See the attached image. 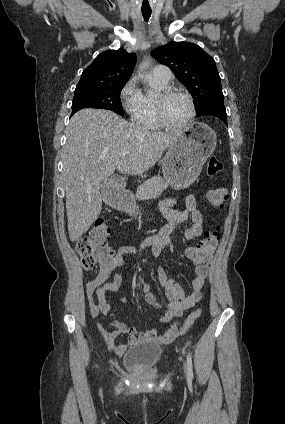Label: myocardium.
<instances>
[{
  "instance_id": "1",
  "label": "myocardium",
  "mask_w": 285,
  "mask_h": 424,
  "mask_svg": "<svg viewBox=\"0 0 285 424\" xmlns=\"http://www.w3.org/2000/svg\"><path fill=\"white\" fill-rule=\"evenodd\" d=\"M175 95H181V96L185 97L187 99L188 103H189V106H190L189 116L181 124L170 123L167 120L165 113H164V104H165L166 100L169 99L172 96H175ZM155 105H156V115H157V119H158L159 123L161 124L162 127L170 129V130L180 131V130L187 128L189 126V124L193 121V119L195 118V115H196V107H195V103H194L192 96L190 94H188L187 92L180 90V89H176V88H168V89L163 90L159 94V96L156 98Z\"/></svg>"
}]
</instances>
